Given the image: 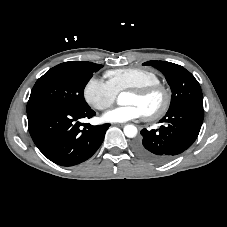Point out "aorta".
<instances>
[{
  "label": "aorta",
  "mask_w": 227,
  "mask_h": 227,
  "mask_svg": "<svg viewBox=\"0 0 227 227\" xmlns=\"http://www.w3.org/2000/svg\"><path fill=\"white\" fill-rule=\"evenodd\" d=\"M124 134L128 138H134L137 135V128L134 125H126L124 127Z\"/></svg>",
  "instance_id": "762f6f07"
}]
</instances>
